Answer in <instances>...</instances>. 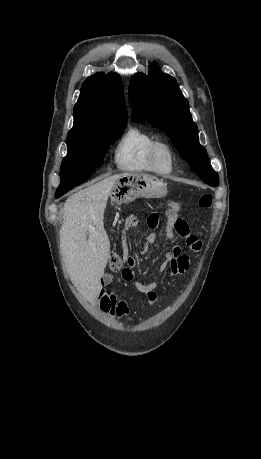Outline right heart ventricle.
Masks as SVG:
<instances>
[{
  "instance_id": "e07e8e85",
  "label": "right heart ventricle",
  "mask_w": 261,
  "mask_h": 459,
  "mask_svg": "<svg viewBox=\"0 0 261 459\" xmlns=\"http://www.w3.org/2000/svg\"><path fill=\"white\" fill-rule=\"evenodd\" d=\"M157 138L149 131L132 127L119 139L114 161L122 171L155 172L150 162V149Z\"/></svg>"
}]
</instances>
